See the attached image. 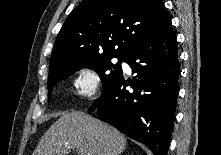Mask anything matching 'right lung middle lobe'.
<instances>
[{
	"instance_id": "dd1d6c3e",
	"label": "right lung middle lobe",
	"mask_w": 221,
	"mask_h": 155,
	"mask_svg": "<svg viewBox=\"0 0 221 155\" xmlns=\"http://www.w3.org/2000/svg\"><path fill=\"white\" fill-rule=\"evenodd\" d=\"M114 57L103 58L92 61H83L76 63L68 67H62L49 73L48 80V99L51 97L53 87L62 78H66L73 74L75 71H79L83 68H88L96 71L102 80L104 85L103 93L113 84V82L121 75L122 69L120 63L114 65L111 60ZM120 62L125 61L126 57H117Z\"/></svg>"
}]
</instances>
